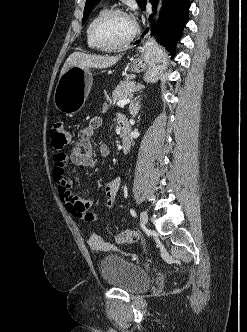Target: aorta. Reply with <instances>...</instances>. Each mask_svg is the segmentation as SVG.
<instances>
[{
  "instance_id": "1",
  "label": "aorta",
  "mask_w": 247,
  "mask_h": 332,
  "mask_svg": "<svg viewBox=\"0 0 247 332\" xmlns=\"http://www.w3.org/2000/svg\"><path fill=\"white\" fill-rule=\"evenodd\" d=\"M161 3H162V0H159V4H158V11L160 10V8H161Z\"/></svg>"
}]
</instances>
